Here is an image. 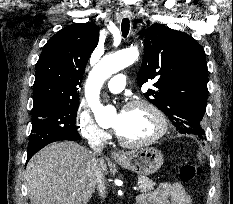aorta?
Segmentation results:
<instances>
[{
    "label": "aorta",
    "mask_w": 233,
    "mask_h": 204,
    "mask_svg": "<svg viewBox=\"0 0 233 204\" xmlns=\"http://www.w3.org/2000/svg\"><path fill=\"white\" fill-rule=\"evenodd\" d=\"M138 57L139 53L136 49H126L106 55L89 73L85 85V97L99 125L109 123L115 113L113 106H103L100 102L99 95L103 83L112 74L132 65Z\"/></svg>",
    "instance_id": "aorta-1"
}]
</instances>
